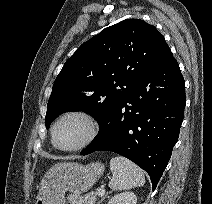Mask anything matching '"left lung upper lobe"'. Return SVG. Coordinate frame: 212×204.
Instances as JSON below:
<instances>
[{
	"label": "left lung upper lobe",
	"instance_id": "1",
	"mask_svg": "<svg viewBox=\"0 0 212 204\" xmlns=\"http://www.w3.org/2000/svg\"><path fill=\"white\" fill-rule=\"evenodd\" d=\"M169 50L157 29L140 19L104 29L65 62L47 104L46 128L67 111H86L100 124Z\"/></svg>",
	"mask_w": 212,
	"mask_h": 204
}]
</instances>
